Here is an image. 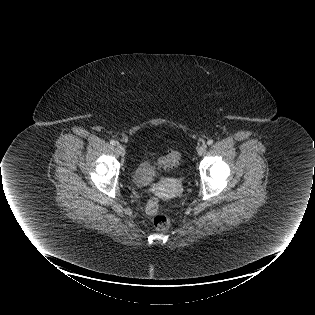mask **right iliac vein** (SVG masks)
Returning <instances> with one entry per match:
<instances>
[{
  "label": "right iliac vein",
  "instance_id": "63e3f726",
  "mask_svg": "<svg viewBox=\"0 0 315 315\" xmlns=\"http://www.w3.org/2000/svg\"><path fill=\"white\" fill-rule=\"evenodd\" d=\"M117 151L121 156H124L126 153L125 148L120 144H117Z\"/></svg>",
  "mask_w": 315,
  "mask_h": 315
}]
</instances>
